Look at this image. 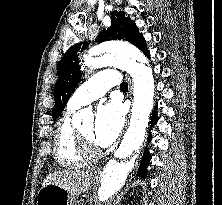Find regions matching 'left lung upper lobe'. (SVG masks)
<instances>
[{
    "label": "left lung upper lobe",
    "instance_id": "obj_1",
    "mask_svg": "<svg viewBox=\"0 0 222 205\" xmlns=\"http://www.w3.org/2000/svg\"><path fill=\"white\" fill-rule=\"evenodd\" d=\"M125 40L138 48L145 41L143 35L129 17L124 12L113 11L111 13V26L107 30H103L96 38V42L109 40ZM87 42L78 43L64 54L57 66L58 80L54 88L55 105L52 109L53 119L56 120L63 109L80 79L81 72L78 62L79 52L86 49Z\"/></svg>",
    "mask_w": 222,
    "mask_h": 205
}]
</instances>
